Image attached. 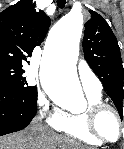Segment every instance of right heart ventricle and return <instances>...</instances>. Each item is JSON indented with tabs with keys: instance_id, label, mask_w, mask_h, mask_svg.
I'll use <instances>...</instances> for the list:
<instances>
[{
	"instance_id": "e07e8e85",
	"label": "right heart ventricle",
	"mask_w": 124,
	"mask_h": 149,
	"mask_svg": "<svg viewBox=\"0 0 124 149\" xmlns=\"http://www.w3.org/2000/svg\"><path fill=\"white\" fill-rule=\"evenodd\" d=\"M86 96L89 104L102 102L101 93L86 92ZM58 130L67 136L90 146L98 147L103 145L101 141L97 140L89 132L86 124L85 112L67 113L62 126L58 128Z\"/></svg>"
}]
</instances>
